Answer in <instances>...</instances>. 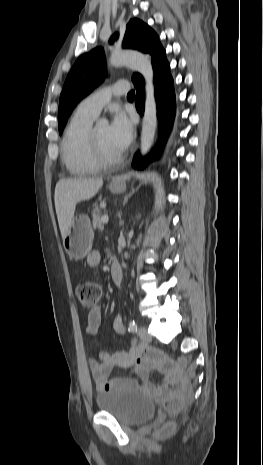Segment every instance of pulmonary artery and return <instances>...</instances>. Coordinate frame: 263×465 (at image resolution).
<instances>
[{
	"label": "pulmonary artery",
	"instance_id": "obj_1",
	"mask_svg": "<svg viewBox=\"0 0 263 465\" xmlns=\"http://www.w3.org/2000/svg\"><path fill=\"white\" fill-rule=\"evenodd\" d=\"M129 90L125 81H118L110 86L101 88L86 98L78 105L77 110L83 114L96 118L102 108L111 100L112 96L122 95Z\"/></svg>",
	"mask_w": 263,
	"mask_h": 465
}]
</instances>
